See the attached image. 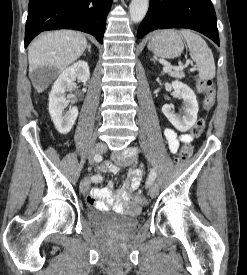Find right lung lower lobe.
Wrapping results in <instances>:
<instances>
[{
	"instance_id": "1",
	"label": "right lung lower lobe",
	"mask_w": 247,
	"mask_h": 275,
	"mask_svg": "<svg viewBox=\"0 0 247 275\" xmlns=\"http://www.w3.org/2000/svg\"><path fill=\"white\" fill-rule=\"evenodd\" d=\"M112 0H30L25 28V48L40 32L75 29L103 44L106 17Z\"/></svg>"
}]
</instances>
